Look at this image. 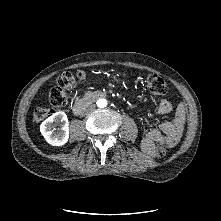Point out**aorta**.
Returning <instances> with one entry per match:
<instances>
[{
  "label": "aorta",
  "instance_id": "762f6f07",
  "mask_svg": "<svg viewBox=\"0 0 221 221\" xmlns=\"http://www.w3.org/2000/svg\"><path fill=\"white\" fill-rule=\"evenodd\" d=\"M96 104L99 108H104L107 106V100L106 99H99V100H97Z\"/></svg>",
  "mask_w": 221,
  "mask_h": 221
}]
</instances>
